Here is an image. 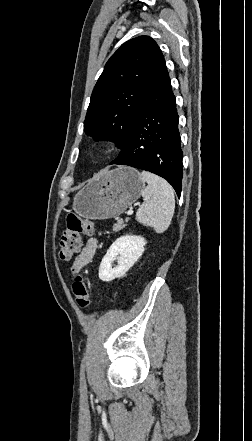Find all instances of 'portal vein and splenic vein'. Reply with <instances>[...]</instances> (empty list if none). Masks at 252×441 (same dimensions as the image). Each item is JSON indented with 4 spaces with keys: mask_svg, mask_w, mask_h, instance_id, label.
Wrapping results in <instances>:
<instances>
[{
    "mask_svg": "<svg viewBox=\"0 0 252 441\" xmlns=\"http://www.w3.org/2000/svg\"><path fill=\"white\" fill-rule=\"evenodd\" d=\"M133 214V211L132 210H129L128 212H127V215L128 216H131Z\"/></svg>",
    "mask_w": 252,
    "mask_h": 441,
    "instance_id": "portal-vein-and-splenic-vein-1",
    "label": "portal vein and splenic vein"
}]
</instances>
